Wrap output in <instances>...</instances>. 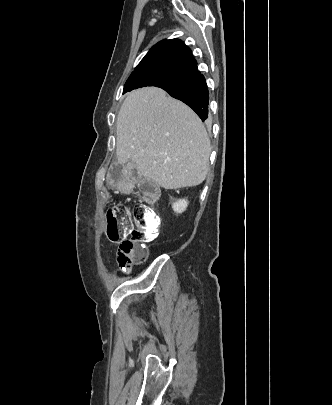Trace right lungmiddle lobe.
Here are the masks:
<instances>
[{
    "instance_id": "right-lung-middle-lobe-1",
    "label": "right lung middle lobe",
    "mask_w": 332,
    "mask_h": 405,
    "mask_svg": "<svg viewBox=\"0 0 332 405\" xmlns=\"http://www.w3.org/2000/svg\"><path fill=\"white\" fill-rule=\"evenodd\" d=\"M182 80L183 78L181 76L160 71L134 72L126 81L123 93L141 88L143 86H157L160 88L168 87Z\"/></svg>"
}]
</instances>
